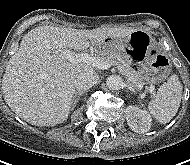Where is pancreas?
<instances>
[{"label": "pancreas", "mask_w": 190, "mask_h": 165, "mask_svg": "<svg viewBox=\"0 0 190 165\" xmlns=\"http://www.w3.org/2000/svg\"><path fill=\"white\" fill-rule=\"evenodd\" d=\"M95 58L101 59L111 65L117 66V68L124 74L132 77L135 82L139 84H144V80L139 75L137 71H135L118 53H111L108 55H100L98 54Z\"/></svg>", "instance_id": "obj_1"}]
</instances>
